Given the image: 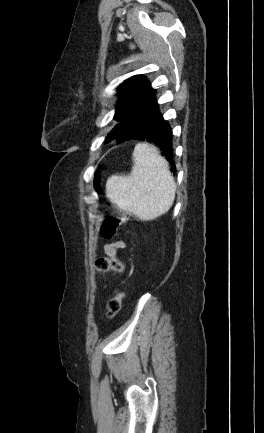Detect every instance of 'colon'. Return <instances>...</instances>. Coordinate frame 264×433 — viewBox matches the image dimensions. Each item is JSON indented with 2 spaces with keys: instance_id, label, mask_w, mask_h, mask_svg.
I'll return each mask as SVG.
<instances>
[{
  "instance_id": "obj_1",
  "label": "colon",
  "mask_w": 264,
  "mask_h": 433,
  "mask_svg": "<svg viewBox=\"0 0 264 433\" xmlns=\"http://www.w3.org/2000/svg\"><path fill=\"white\" fill-rule=\"evenodd\" d=\"M99 175L96 174L95 185L98 186ZM128 214L124 212H117L114 215L107 216L100 227L101 235L104 238L111 239L119 234L121 226L128 220ZM95 270L99 273H104L108 271H115L122 273L124 271L123 263L114 255H108L104 257H99L95 261ZM124 298V291L121 290L116 296L111 298L107 305V316L113 319L117 313L120 311L122 301Z\"/></svg>"
}]
</instances>
